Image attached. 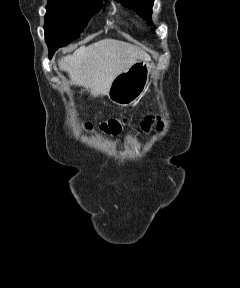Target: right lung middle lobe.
Masks as SVG:
<instances>
[{
    "instance_id": "dd1d6c3e",
    "label": "right lung middle lobe",
    "mask_w": 240,
    "mask_h": 288,
    "mask_svg": "<svg viewBox=\"0 0 240 288\" xmlns=\"http://www.w3.org/2000/svg\"><path fill=\"white\" fill-rule=\"evenodd\" d=\"M102 0H48L45 40L56 51L79 37L90 18L101 9Z\"/></svg>"
}]
</instances>
